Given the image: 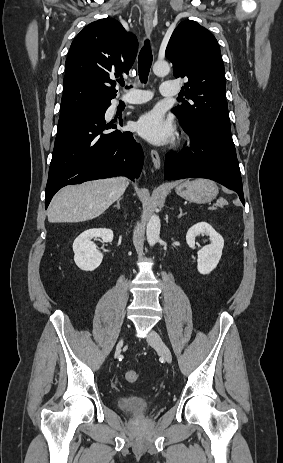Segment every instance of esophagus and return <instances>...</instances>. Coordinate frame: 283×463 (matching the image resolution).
I'll return each instance as SVG.
<instances>
[{
  "mask_svg": "<svg viewBox=\"0 0 283 463\" xmlns=\"http://www.w3.org/2000/svg\"><path fill=\"white\" fill-rule=\"evenodd\" d=\"M144 27H145V31L147 35L150 36L153 31V16L152 15H146L144 17ZM151 158H152L154 167L156 169H159L161 165L160 156L158 152L154 149L151 150Z\"/></svg>",
  "mask_w": 283,
  "mask_h": 463,
  "instance_id": "obj_1",
  "label": "esophagus"
}]
</instances>
